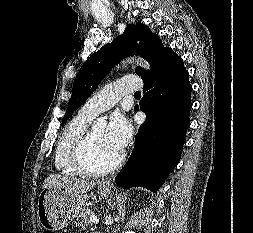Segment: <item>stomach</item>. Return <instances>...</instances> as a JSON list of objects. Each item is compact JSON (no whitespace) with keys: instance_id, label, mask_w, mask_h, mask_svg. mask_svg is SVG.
I'll use <instances>...</instances> for the list:
<instances>
[{"instance_id":"1","label":"stomach","mask_w":253,"mask_h":233,"mask_svg":"<svg viewBox=\"0 0 253 233\" xmlns=\"http://www.w3.org/2000/svg\"><path fill=\"white\" fill-rule=\"evenodd\" d=\"M98 193L102 197H108L111 194L110 185L101 182ZM85 199V196L70 193L62 188H44L37 205L40 225L49 232L64 228L78 214Z\"/></svg>"}]
</instances>
